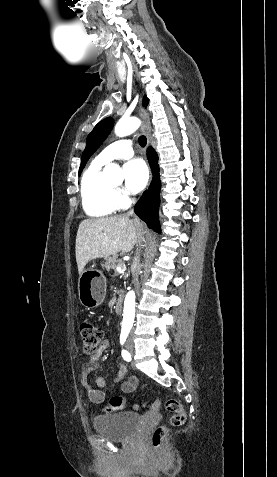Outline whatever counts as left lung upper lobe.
<instances>
[{
	"label": "left lung upper lobe",
	"instance_id": "left-lung-upper-lobe-1",
	"mask_svg": "<svg viewBox=\"0 0 277 477\" xmlns=\"http://www.w3.org/2000/svg\"><path fill=\"white\" fill-rule=\"evenodd\" d=\"M148 99L144 97V104L147 105ZM114 121L112 118H105L100 121L88 135L86 140V148L82 153L81 165L79 168V175L84 169L90 156L99 148V146L106 139L113 127Z\"/></svg>",
	"mask_w": 277,
	"mask_h": 477
}]
</instances>
